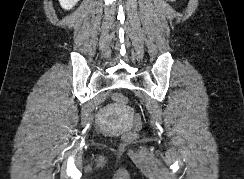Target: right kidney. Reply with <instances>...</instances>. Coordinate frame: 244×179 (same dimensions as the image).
<instances>
[{"label": "right kidney", "mask_w": 244, "mask_h": 179, "mask_svg": "<svg viewBox=\"0 0 244 179\" xmlns=\"http://www.w3.org/2000/svg\"><path fill=\"white\" fill-rule=\"evenodd\" d=\"M59 2H60V6H62L64 10H71L73 6H76L79 0H59Z\"/></svg>", "instance_id": "1"}]
</instances>
